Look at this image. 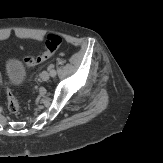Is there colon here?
Here are the masks:
<instances>
[{
  "instance_id": "colon-1",
  "label": "colon",
  "mask_w": 163,
  "mask_h": 163,
  "mask_svg": "<svg viewBox=\"0 0 163 163\" xmlns=\"http://www.w3.org/2000/svg\"><path fill=\"white\" fill-rule=\"evenodd\" d=\"M62 44V39L58 35H49L45 39V50L39 56L29 55L24 58V63L27 67H36L45 61L49 60L54 53L60 48ZM7 106L11 113H17L19 111L20 105L18 97L14 90L7 88Z\"/></svg>"
}]
</instances>
